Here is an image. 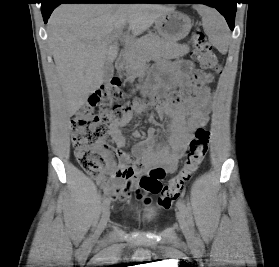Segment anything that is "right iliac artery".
<instances>
[{"instance_id": "obj_1", "label": "right iliac artery", "mask_w": 279, "mask_h": 267, "mask_svg": "<svg viewBox=\"0 0 279 267\" xmlns=\"http://www.w3.org/2000/svg\"><path fill=\"white\" fill-rule=\"evenodd\" d=\"M109 205H110V199L109 198H105L103 200V203H102L101 208H100L101 211H105L108 208Z\"/></svg>"}]
</instances>
